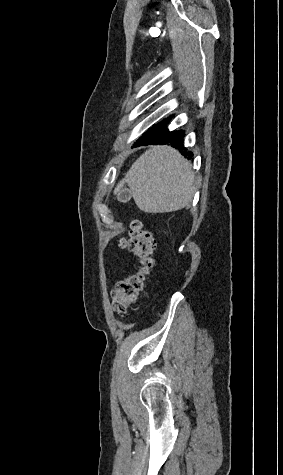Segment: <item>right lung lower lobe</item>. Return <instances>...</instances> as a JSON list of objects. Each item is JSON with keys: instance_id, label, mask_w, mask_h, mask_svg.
<instances>
[{"instance_id": "right-lung-lower-lobe-1", "label": "right lung lower lobe", "mask_w": 283, "mask_h": 475, "mask_svg": "<svg viewBox=\"0 0 283 475\" xmlns=\"http://www.w3.org/2000/svg\"><path fill=\"white\" fill-rule=\"evenodd\" d=\"M169 117V119H171ZM169 121L165 119L162 122L154 125L150 130H148L139 140L134 144L135 147L140 145H148V144H171L175 148L182 151L184 156H188L191 158L192 152H187V148H184V136L185 132L183 130H175L169 131L167 128V124Z\"/></svg>"}]
</instances>
